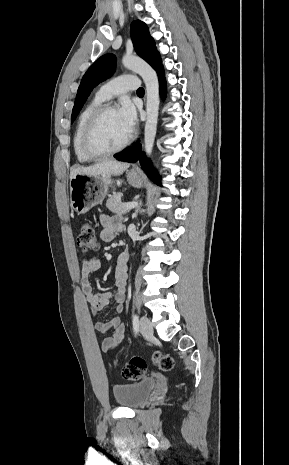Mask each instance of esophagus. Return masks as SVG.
I'll use <instances>...</instances> for the list:
<instances>
[{"label": "esophagus", "instance_id": "obj_1", "mask_svg": "<svg viewBox=\"0 0 289 465\" xmlns=\"http://www.w3.org/2000/svg\"><path fill=\"white\" fill-rule=\"evenodd\" d=\"M137 168L136 167H133V170H136Z\"/></svg>", "mask_w": 289, "mask_h": 465}]
</instances>
